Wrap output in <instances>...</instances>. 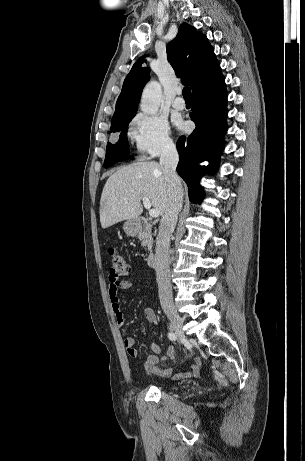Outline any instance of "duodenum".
Returning <instances> with one entry per match:
<instances>
[{
	"mask_svg": "<svg viewBox=\"0 0 305 461\" xmlns=\"http://www.w3.org/2000/svg\"><path fill=\"white\" fill-rule=\"evenodd\" d=\"M134 227L139 238L145 239L150 236L151 225L145 219H137L134 223ZM146 263L149 267H154L156 264V255L154 253H150L146 258Z\"/></svg>",
	"mask_w": 305,
	"mask_h": 461,
	"instance_id": "410a0bca",
	"label": "duodenum"
}]
</instances>
